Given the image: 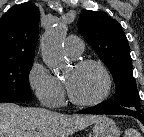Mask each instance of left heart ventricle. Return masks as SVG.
Segmentation results:
<instances>
[{
    "label": "left heart ventricle",
    "mask_w": 144,
    "mask_h": 137,
    "mask_svg": "<svg viewBox=\"0 0 144 137\" xmlns=\"http://www.w3.org/2000/svg\"><path fill=\"white\" fill-rule=\"evenodd\" d=\"M64 81L72 95L81 101H90L98 98L105 88L103 74L93 66L83 68L72 66L65 73Z\"/></svg>",
    "instance_id": "1"
}]
</instances>
